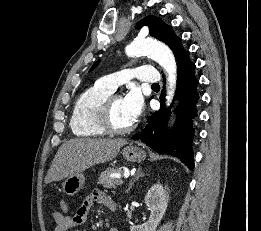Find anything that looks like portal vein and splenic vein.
I'll list each match as a JSON object with an SVG mask.
<instances>
[{"mask_svg":"<svg viewBox=\"0 0 261 231\" xmlns=\"http://www.w3.org/2000/svg\"><path fill=\"white\" fill-rule=\"evenodd\" d=\"M116 177L119 179V181L117 182L118 184H122V180H121V175H116Z\"/></svg>","mask_w":261,"mask_h":231,"instance_id":"18ae733b","label":"portal vein and splenic vein"}]
</instances>
